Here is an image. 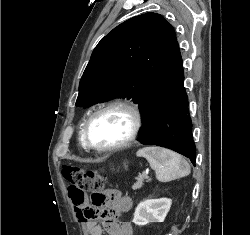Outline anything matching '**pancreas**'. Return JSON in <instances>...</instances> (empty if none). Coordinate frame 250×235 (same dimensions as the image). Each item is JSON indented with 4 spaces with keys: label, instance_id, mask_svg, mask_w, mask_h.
<instances>
[{
    "label": "pancreas",
    "instance_id": "1",
    "mask_svg": "<svg viewBox=\"0 0 250 235\" xmlns=\"http://www.w3.org/2000/svg\"><path fill=\"white\" fill-rule=\"evenodd\" d=\"M137 180L138 181L136 183H134V185L132 186L133 190L140 189L143 185L142 178H138Z\"/></svg>",
    "mask_w": 250,
    "mask_h": 235
}]
</instances>
